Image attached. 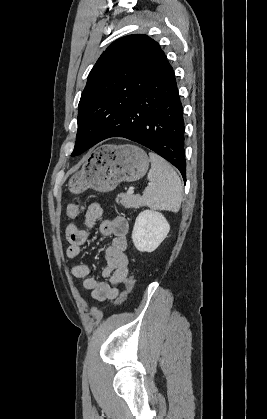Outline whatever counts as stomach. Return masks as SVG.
Masks as SVG:
<instances>
[{
	"instance_id": "stomach-1",
	"label": "stomach",
	"mask_w": 267,
	"mask_h": 419,
	"mask_svg": "<svg viewBox=\"0 0 267 419\" xmlns=\"http://www.w3.org/2000/svg\"><path fill=\"white\" fill-rule=\"evenodd\" d=\"M146 152L132 144H105L94 149L68 182L72 193L88 188L99 192L114 190L123 181L142 178L149 168Z\"/></svg>"
}]
</instances>
